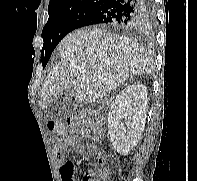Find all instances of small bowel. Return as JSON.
I'll use <instances>...</instances> for the list:
<instances>
[{
  "label": "small bowel",
  "mask_w": 197,
  "mask_h": 181,
  "mask_svg": "<svg viewBox=\"0 0 197 181\" xmlns=\"http://www.w3.org/2000/svg\"><path fill=\"white\" fill-rule=\"evenodd\" d=\"M69 147H75L78 152H82L85 147L75 138L68 137L56 150V158L60 163L62 181H75V166L71 160L66 159V152Z\"/></svg>",
  "instance_id": "obj_1"
}]
</instances>
